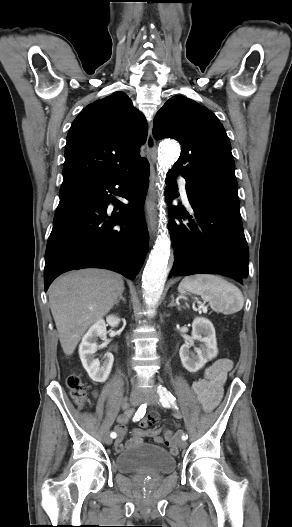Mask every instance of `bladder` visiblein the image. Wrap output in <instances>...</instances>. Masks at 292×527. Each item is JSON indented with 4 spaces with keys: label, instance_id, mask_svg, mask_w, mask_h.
Returning <instances> with one entry per match:
<instances>
[{
    "label": "bladder",
    "instance_id": "bladder-1",
    "mask_svg": "<svg viewBox=\"0 0 292 527\" xmlns=\"http://www.w3.org/2000/svg\"><path fill=\"white\" fill-rule=\"evenodd\" d=\"M175 466L176 459L167 449L148 443L131 446L115 459L116 469L125 474H167Z\"/></svg>",
    "mask_w": 292,
    "mask_h": 527
}]
</instances>
